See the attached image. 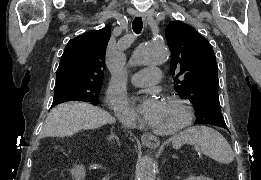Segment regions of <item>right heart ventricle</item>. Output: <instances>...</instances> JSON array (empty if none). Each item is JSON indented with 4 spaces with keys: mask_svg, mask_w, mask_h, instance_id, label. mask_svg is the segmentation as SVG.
I'll use <instances>...</instances> for the list:
<instances>
[{
    "mask_svg": "<svg viewBox=\"0 0 261 180\" xmlns=\"http://www.w3.org/2000/svg\"><path fill=\"white\" fill-rule=\"evenodd\" d=\"M128 116H129V118H132V115H131V113H130V112H128Z\"/></svg>",
    "mask_w": 261,
    "mask_h": 180,
    "instance_id": "e07e8e85",
    "label": "right heart ventricle"
}]
</instances>
